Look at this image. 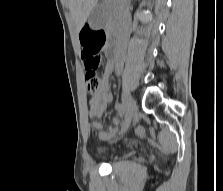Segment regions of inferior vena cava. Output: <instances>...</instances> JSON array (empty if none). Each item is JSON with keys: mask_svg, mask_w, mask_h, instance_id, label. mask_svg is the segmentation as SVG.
I'll return each instance as SVG.
<instances>
[{"mask_svg": "<svg viewBox=\"0 0 223 191\" xmlns=\"http://www.w3.org/2000/svg\"><path fill=\"white\" fill-rule=\"evenodd\" d=\"M130 0H116V8L118 11V20L120 25V34L118 38V47L125 52L127 38L131 26V16L129 12ZM120 64H117L119 67Z\"/></svg>", "mask_w": 223, "mask_h": 191, "instance_id": "1", "label": "inferior vena cava"}]
</instances>
